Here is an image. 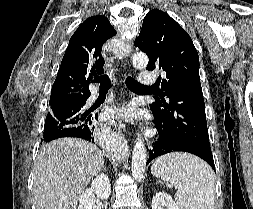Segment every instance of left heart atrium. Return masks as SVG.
<instances>
[{
	"label": "left heart atrium",
	"instance_id": "1",
	"mask_svg": "<svg viewBox=\"0 0 253 209\" xmlns=\"http://www.w3.org/2000/svg\"><path fill=\"white\" fill-rule=\"evenodd\" d=\"M135 115V109L130 105L124 106L122 108L107 109L106 111V117L109 119L131 120Z\"/></svg>",
	"mask_w": 253,
	"mask_h": 209
}]
</instances>
